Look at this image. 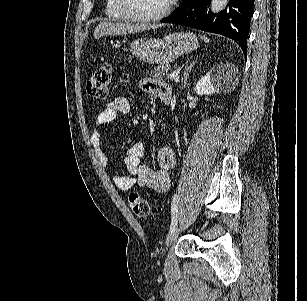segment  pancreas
Returning a JSON list of instances; mask_svg holds the SVG:
<instances>
[{"label":"pancreas","mask_w":307,"mask_h":301,"mask_svg":"<svg viewBox=\"0 0 307 301\" xmlns=\"http://www.w3.org/2000/svg\"><path fill=\"white\" fill-rule=\"evenodd\" d=\"M174 72L173 68H170L168 64H162V66H157L155 70H152V76L155 78H165V80H174V78H170L169 74Z\"/></svg>","instance_id":"cf45deb5"}]
</instances>
